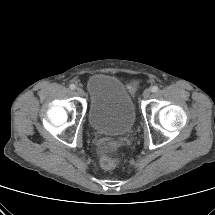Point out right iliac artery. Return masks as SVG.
Segmentation results:
<instances>
[{
    "instance_id": "82829eb1",
    "label": "right iliac artery",
    "mask_w": 215,
    "mask_h": 215,
    "mask_svg": "<svg viewBox=\"0 0 215 215\" xmlns=\"http://www.w3.org/2000/svg\"><path fill=\"white\" fill-rule=\"evenodd\" d=\"M75 88H76V86H75L74 84H71V85H70V89H71V90H74Z\"/></svg>"
}]
</instances>
